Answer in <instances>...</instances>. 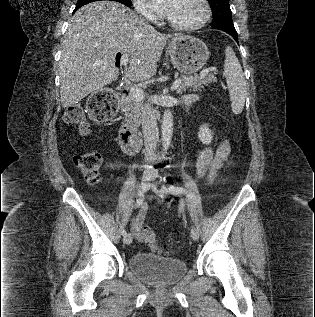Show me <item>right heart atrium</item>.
Masks as SVG:
<instances>
[{"label":"right heart atrium","instance_id":"right-heart-atrium-1","mask_svg":"<svg viewBox=\"0 0 315 317\" xmlns=\"http://www.w3.org/2000/svg\"><path fill=\"white\" fill-rule=\"evenodd\" d=\"M136 11L146 19H155V13L148 0H133Z\"/></svg>","mask_w":315,"mask_h":317}]
</instances>
